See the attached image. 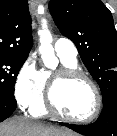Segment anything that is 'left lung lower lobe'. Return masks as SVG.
I'll return each mask as SVG.
<instances>
[{"label": "left lung lower lobe", "instance_id": "left-lung-lower-lobe-1", "mask_svg": "<svg viewBox=\"0 0 117 136\" xmlns=\"http://www.w3.org/2000/svg\"><path fill=\"white\" fill-rule=\"evenodd\" d=\"M104 105L99 118L89 125H72L60 123L86 136H117V95Z\"/></svg>", "mask_w": 117, "mask_h": 136}]
</instances>
